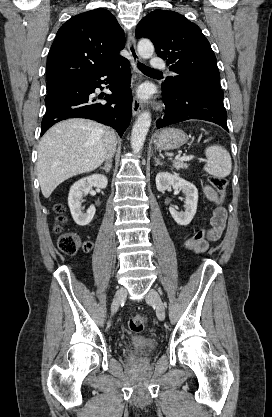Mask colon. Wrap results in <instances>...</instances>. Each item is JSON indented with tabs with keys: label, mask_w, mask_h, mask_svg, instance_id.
Listing matches in <instances>:
<instances>
[{
	"label": "colon",
	"mask_w": 272,
	"mask_h": 417,
	"mask_svg": "<svg viewBox=\"0 0 272 417\" xmlns=\"http://www.w3.org/2000/svg\"><path fill=\"white\" fill-rule=\"evenodd\" d=\"M210 185L213 190L217 192L216 205L219 206L225 196L227 188V180L222 177H211ZM64 207L61 204L55 206V212L57 213V225L55 231L58 234V244L60 250L68 255H74L78 251H88L91 248V243L83 241L74 233L63 232L61 229V224L64 222ZM208 231L202 229L198 231L193 237L186 240L183 244L184 248L187 250H194L207 238ZM147 326V320L142 314L132 315L129 319V328L133 332H142Z\"/></svg>",
	"instance_id": "5ec220e1"
}]
</instances>
